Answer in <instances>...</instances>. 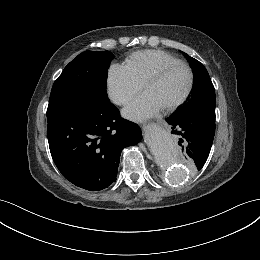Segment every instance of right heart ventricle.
I'll return each instance as SVG.
<instances>
[{"label":"right heart ventricle","instance_id":"obj_1","mask_svg":"<svg viewBox=\"0 0 260 260\" xmlns=\"http://www.w3.org/2000/svg\"><path fill=\"white\" fill-rule=\"evenodd\" d=\"M180 62L172 54L162 50H141L132 53L125 62L130 74L141 84L161 67Z\"/></svg>","mask_w":260,"mask_h":260}]
</instances>
